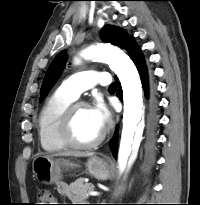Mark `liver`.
Returning a JSON list of instances; mask_svg holds the SVG:
<instances>
[{"mask_svg": "<svg viewBox=\"0 0 200 205\" xmlns=\"http://www.w3.org/2000/svg\"><path fill=\"white\" fill-rule=\"evenodd\" d=\"M57 155H59V156L89 157V156H93V153H90V152L66 151V152H61V153H59ZM50 157H53V155L50 156Z\"/></svg>", "mask_w": 200, "mask_h": 205, "instance_id": "6515ba94", "label": "liver"}]
</instances>
